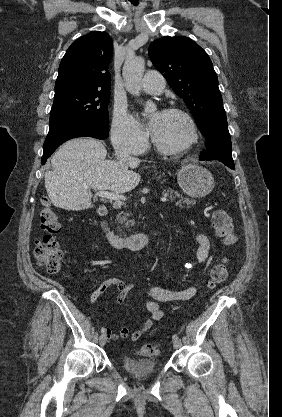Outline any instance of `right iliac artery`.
Segmentation results:
<instances>
[{
    "label": "right iliac artery",
    "mask_w": 282,
    "mask_h": 417,
    "mask_svg": "<svg viewBox=\"0 0 282 417\" xmlns=\"http://www.w3.org/2000/svg\"><path fill=\"white\" fill-rule=\"evenodd\" d=\"M101 332H102V333H104V332H105V328H102V329H101Z\"/></svg>",
    "instance_id": "82829eb1"
}]
</instances>
